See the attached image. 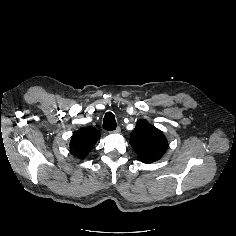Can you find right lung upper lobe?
I'll list each match as a JSON object with an SVG mask.
<instances>
[{
  "label": "right lung upper lobe",
  "instance_id": "1",
  "mask_svg": "<svg viewBox=\"0 0 236 236\" xmlns=\"http://www.w3.org/2000/svg\"><path fill=\"white\" fill-rule=\"evenodd\" d=\"M99 137L100 133L95 128H82L72 136L70 150L79 159H83L95 145Z\"/></svg>",
  "mask_w": 236,
  "mask_h": 236
}]
</instances>
